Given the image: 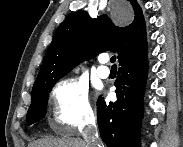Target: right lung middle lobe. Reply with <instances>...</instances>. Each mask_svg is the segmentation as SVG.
Listing matches in <instances>:
<instances>
[{
    "instance_id": "dd1d6c3e",
    "label": "right lung middle lobe",
    "mask_w": 183,
    "mask_h": 147,
    "mask_svg": "<svg viewBox=\"0 0 183 147\" xmlns=\"http://www.w3.org/2000/svg\"><path fill=\"white\" fill-rule=\"evenodd\" d=\"M57 81L47 87L32 91V101L26 116L29 125L38 122L45 116L49 93Z\"/></svg>"
}]
</instances>
